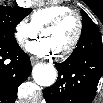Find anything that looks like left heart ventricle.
I'll return each instance as SVG.
<instances>
[{
  "label": "left heart ventricle",
  "mask_w": 103,
  "mask_h": 103,
  "mask_svg": "<svg viewBox=\"0 0 103 103\" xmlns=\"http://www.w3.org/2000/svg\"><path fill=\"white\" fill-rule=\"evenodd\" d=\"M77 23L74 18H69L60 26L46 30L42 36L49 38L52 42L55 52L64 49L73 39L76 32Z\"/></svg>",
  "instance_id": "obj_1"
}]
</instances>
